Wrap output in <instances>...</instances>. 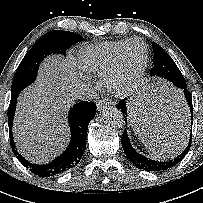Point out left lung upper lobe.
Listing matches in <instances>:
<instances>
[{
	"label": "left lung upper lobe",
	"instance_id": "5c2ea615",
	"mask_svg": "<svg viewBox=\"0 0 203 203\" xmlns=\"http://www.w3.org/2000/svg\"><path fill=\"white\" fill-rule=\"evenodd\" d=\"M152 48L154 51V57H153V63H154V67L151 69V75H157V76H162L164 77V72L165 69L163 68V66H165V63L162 62L165 60H171L173 63L174 61L172 60V58L161 48V46H159L157 43L153 42L152 43Z\"/></svg>",
	"mask_w": 203,
	"mask_h": 203
}]
</instances>
